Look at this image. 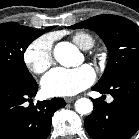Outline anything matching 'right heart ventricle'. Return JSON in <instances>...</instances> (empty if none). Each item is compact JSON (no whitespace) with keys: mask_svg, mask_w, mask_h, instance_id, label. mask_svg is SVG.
I'll list each match as a JSON object with an SVG mask.
<instances>
[{"mask_svg":"<svg viewBox=\"0 0 139 139\" xmlns=\"http://www.w3.org/2000/svg\"><path fill=\"white\" fill-rule=\"evenodd\" d=\"M72 40L76 45L84 50L91 49L95 44L93 36L86 32H76L72 36Z\"/></svg>","mask_w":139,"mask_h":139,"instance_id":"1","label":"right heart ventricle"}]
</instances>
